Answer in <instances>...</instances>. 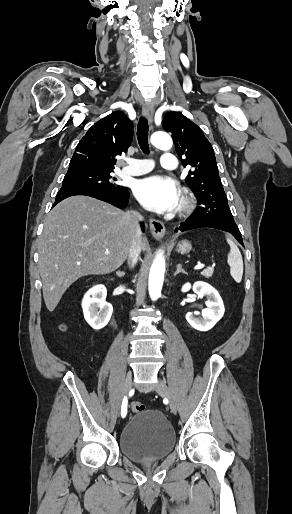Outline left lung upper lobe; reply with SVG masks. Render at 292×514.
<instances>
[{"label": "left lung upper lobe", "instance_id": "1", "mask_svg": "<svg viewBox=\"0 0 292 514\" xmlns=\"http://www.w3.org/2000/svg\"><path fill=\"white\" fill-rule=\"evenodd\" d=\"M163 128L172 133L176 152L184 167H190L186 183L195 194L199 218L235 222L219 177L214 150L201 129L179 112L163 119Z\"/></svg>", "mask_w": 292, "mask_h": 514}]
</instances>
